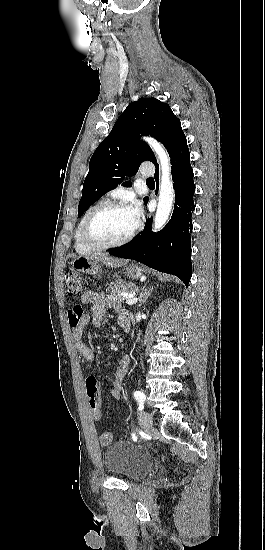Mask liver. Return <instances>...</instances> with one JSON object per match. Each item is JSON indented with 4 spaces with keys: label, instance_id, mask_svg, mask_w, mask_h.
Returning <instances> with one entry per match:
<instances>
[{
    "label": "liver",
    "instance_id": "obj_1",
    "mask_svg": "<svg viewBox=\"0 0 265 550\" xmlns=\"http://www.w3.org/2000/svg\"><path fill=\"white\" fill-rule=\"evenodd\" d=\"M89 257H94L96 259H98L100 262L112 267V268H117V267H120V266H123L126 264V261H123L121 259H114V258H110V257H107L105 256L104 254H95V255H92V256H89Z\"/></svg>",
    "mask_w": 265,
    "mask_h": 550
}]
</instances>
